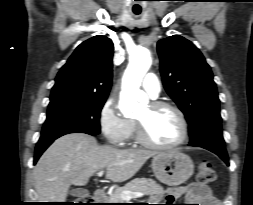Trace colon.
<instances>
[{
  "label": "colon",
  "mask_w": 253,
  "mask_h": 205,
  "mask_svg": "<svg viewBox=\"0 0 253 205\" xmlns=\"http://www.w3.org/2000/svg\"><path fill=\"white\" fill-rule=\"evenodd\" d=\"M197 178L199 183L206 184L216 179V173L208 161L200 162ZM74 205H91L90 197H81L75 200Z\"/></svg>",
  "instance_id": "obj_1"
}]
</instances>
